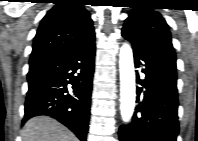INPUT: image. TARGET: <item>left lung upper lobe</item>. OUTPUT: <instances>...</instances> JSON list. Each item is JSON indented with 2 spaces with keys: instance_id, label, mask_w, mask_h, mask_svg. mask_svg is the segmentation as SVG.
<instances>
[{
  "instance_id": "5c2ea615",
  "label": "left lung upper lobe",
  "mask_w": 198,
  "mask_h": 141,
  "mask_svg": "<svg viewBox=\"0 0 198 141\" xmlns=\"http://www.w3.org/2000/svg\"><path fill=\"white\" fill-rule=\"evenodd\" d=\"M125 20L122 34L137 45L148 49L170 48L174 52L168 24L154 11L151 3H136Z\"/></svg>"
}]
</instances>
